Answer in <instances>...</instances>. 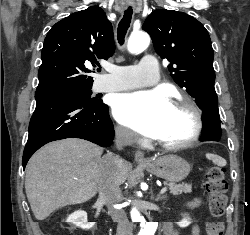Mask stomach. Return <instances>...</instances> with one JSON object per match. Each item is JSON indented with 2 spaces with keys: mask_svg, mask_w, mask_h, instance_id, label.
I'll list each match as a JSON object with an SVG mask.
<instances>
[{
  "mask_svg": "<svg viewBox=\"0 0 250 235\" xmlns=\"http://www.w3.org/2000/svg\"><path fill=\"white\" fill-rule=\"evenodd\" d=\"M144 167L153 175L169 182L184 180L191 170V166L186 160L174 154L153 159Z\"/></svg>",
  "mask_w": 250,
  "mask_h": 235,
  "instance_id": "stomach-1",
  "label": "stomach"
}]
</instances>
